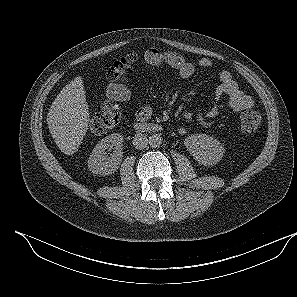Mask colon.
I'll list each match as a JSON object with an SVG mask.
<instances>
[{
    "instance_id": "1",
    "label": "colon",
    "mask_w": 297,
    "mask_h": 297,
    "mask_svg": "<svg viewBox=\"0 0 297 297\" xmlns=\"http://www.w3.org/2000/svg\"><path fill=\"white\" fill-rule=\"evenodd\" d=\"M134 54H127L125 57L113 63L107 75L109 81L121 79L135 65ZM121 120V113L114 108H106L96 114L89 123V129L93 134L102 135L115 128ZM262 122V115L259 111L248 110L240 117L239 131L242 134L255 132Z\"/></svg>"
}]
</instances>
